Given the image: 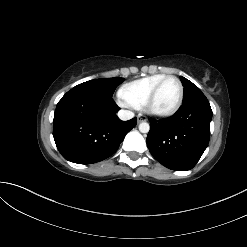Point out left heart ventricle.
<instances>
[{
  "mask_svg": "<svg viewBox=\"0 0 247 247\" xmlns=\"http://www.w3.org/2000/svg\"><path fill=\"white\" fill-rule=\"evenodd\" d=\"M179 98V85L176 80L168 79L161 86L152 109L156 112H166L172 109Z\"/></svg>",
  "mask_w": 247,
  "mask_h": 247,
  "instance_id": "obj_1",
  "label": "left heart ventricle"
}]
</instances>
